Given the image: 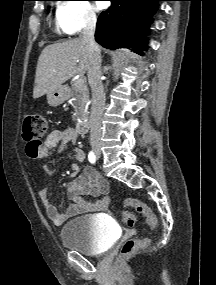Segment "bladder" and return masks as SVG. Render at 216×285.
Listing matches in <instances>:
<instances>
[{"label":"bladder","instance_id":"1","mask_svg":"<svg viewBox=\"0 0 216 285\" xmlns=\"http://www.w3.org/2000/svg\"><path fill=\"white\" fill-rule=\"evenodd\" d=\"M117 237V228L99 216L76 217L63 225L62 244L86 255H99L107 251Z\"/></svg>","mask_w":216,"mask_h":285}]
</instances>
